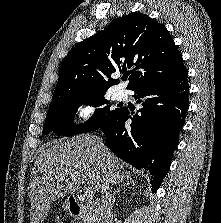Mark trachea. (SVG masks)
Listing matches in <instances>:
<instances>
[{
    "label": "trachea",
    "mask_w": 221,
    "mask_h": 223,
    "mask_svg": "<svg viewBox=\"0 0 221 223\" xmlns=\"http://www.w3.org/2000/svg\"><path fill=\"white\" fill-rule=\"evenodd\" d=\"M126 79H127V76H124V77H123V80H126Z\"/></svg>",
    "instance_id": "obj_1"
}]
</instances>
